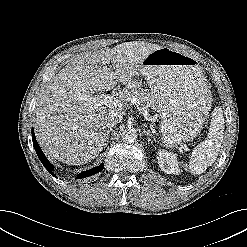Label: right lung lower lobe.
Instances as JSON below:
<instances>
[{
  "label": "right lung lower lobe",
  "instance_id": "98d812e1",
  "mask_svg": "<svg viewBox=\"0 0 247 247\" xmlns=\"http://www.w3.org/2000/svg\"><path fill=\"white\" fill-rule=\"evenodd\" d=\"M32 141H33V146L35 148V151H36V153L38 155V158L40 159L41 163L49 171L50 174H52L53 176H55L54 173H53V166H52V164L47 160V158L43 154L41 148L39 147V145H38V143L36 141L33 128H32ZM102 170H103V164L99 165L98 167H94V168H92L90 170L83 171V172L79 173L76 176V178L77 179H81V178L89 177L91 175H94V174L102 171Z\"/></svg>",
  "mask_w": 247,
  "mask_h": 247
}]
</instances>
